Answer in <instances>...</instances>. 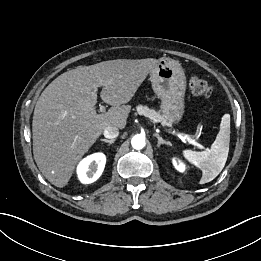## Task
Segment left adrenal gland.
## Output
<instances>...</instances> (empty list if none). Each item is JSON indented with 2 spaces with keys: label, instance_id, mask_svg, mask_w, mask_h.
Listing matches in <instances>:
<instances>
[{
  "label": "left adrenal gland",
  "instance_id": "obj_1",
  "mask_svg": "<svg viewBox=\"0 0 261 261\" xmlns=\"http://www.w3.org/2000/svg\"><path fill=\"white\" fill-rule=\"evenodd\" d=\"M154 136L158 139L157 146L160 147L162 144L172 146L171 142L164 140L159 134L155 133Z\"/></svg>",
  "mask_w": 261,
  "mask_h": 261
}]
</instances>
